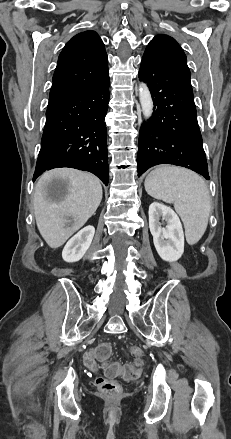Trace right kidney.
<instances>
[{"instance_id":"right-kidney-1","label":"right kidney","mask_w":231,"mask_h":439,"mask_svg":"<svg viewBox=\"0 0 231 439\" xmlns=\"http://www.w3.org/2000/svg\"><path fill=\"white\" fill-rule=\"evenodd\" d=\"M94 233L95 228L89 225L74 235L62 251L63 260L69 263L79 261L90 247Z\"/></svg>"}]
</instances>
